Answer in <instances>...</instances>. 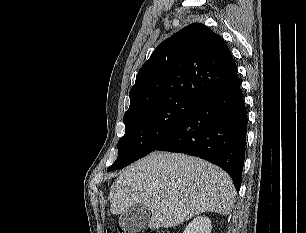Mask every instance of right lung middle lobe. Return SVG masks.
<instances>
[{"label":"right lung middle lobe","mask_w":306,"mask_h":233,"mask_svg":"<svg viewBox=\"0 0 306 233\" xmlns=\"http://www.w3.org/2000/svg\"><path fill=\"white\" fill-rule=\"evenodd\" d=\"M199 105L185 98H173L125 113L126 130L118 142L119 155L107 171L123 168L153 151Z\"/></svg>","instance_id":"obj_1"}]
</instances>
